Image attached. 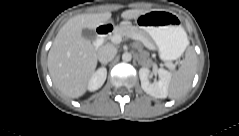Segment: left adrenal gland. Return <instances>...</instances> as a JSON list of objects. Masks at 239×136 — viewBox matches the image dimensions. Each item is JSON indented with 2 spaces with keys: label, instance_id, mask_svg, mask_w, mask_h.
Instances as JSON below:
<instances>
[{
  "label": "left adrenal gland",
  "instance_id": "left-adrenal-gland-1",
  "mask_svg": "<svg viewBox=\"0 0 239 136\" xmlns=\"http://www.w3.org/2000/svg\"><path fill=\"white\" fill-rule=\"evenodd\" d=\"M138 63H139V64H143V62H142V59H141V58H139V59H138Z\"/></svg>",
  "mask_w": 239,
  "mask_h": 136
}]
</instances>
